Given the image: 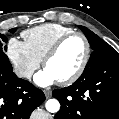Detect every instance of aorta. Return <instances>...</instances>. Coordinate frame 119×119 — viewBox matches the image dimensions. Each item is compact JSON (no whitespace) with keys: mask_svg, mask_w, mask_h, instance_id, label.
I'll use <instances>...</instances> for the list:
<instances>
[{"mask_svg":"<svg viewBox=\"0 0 119 119\" xmlns=\"http://www.w3.org/2000/svg\"><path fill=\"white\" fill-rule=\"evenodd\" d=\"M45 107H46L48 112L56 113L60 109V103L57 99H49L46 102Z\"/></svg>","mask_w":119,"mask_h":119,"instance_id":"762f6f07","label":"aorta"}]
</instances>
